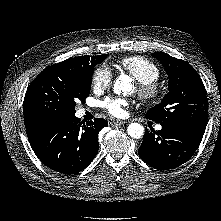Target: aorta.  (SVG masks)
Segmentation results:
<instances>
[{
    "instance_id": "aorta-1",
    "label": "aorta",
    "mask_w": 221,
    "mask_h": 221,
    "mask_svg": "<svg viewBox=\"0 0 221 221\" xmlns=\"http://www.w3.org/2000/svg\"><path fill=\"white\" fill-rule=\"evenodd\" d=\"M131 85V78L126 75H121L114 84V92L119 94L125 92L126 88ZM128 134L132 138L139 139L144 134V127L139 123H131L127 128Z\"/></svg>"
}]
</instances>
